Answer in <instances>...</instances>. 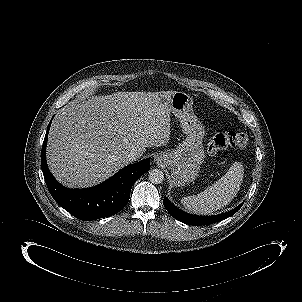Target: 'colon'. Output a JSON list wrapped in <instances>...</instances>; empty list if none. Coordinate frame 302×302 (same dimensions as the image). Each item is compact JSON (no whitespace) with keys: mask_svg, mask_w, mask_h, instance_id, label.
Here are the masks:
<instances>
[{"mask_svg":"<svg viewBox=\"0 0 302 302\" xmlns=\"http://www.w3.org/2000/svg\"><path fill=\"white\" fill-rule=\"evenodd\" d=\"M247 135L242 132H228L213 136L207 143L209 154H215L228 147L244 148L247 145Z\"/></svg>","mask_w":302,"mask_h":302,"instance_id":"obj_1","label":"colon"}]
</instances>
